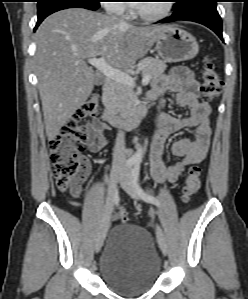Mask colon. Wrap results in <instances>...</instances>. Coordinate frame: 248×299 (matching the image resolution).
<instances>
[{
    "instance_id": "5ec220e1",
    "label": "colon",
    "mask_w": 248,
    "mask_h": 299,
    "mask_svg": "<svg viewBox=\"0 0 248 299\" xmlns=\"http://www.w3.org/2000/svg\"><path fill=\"white\" fill-rule=\"evenodd\" d=\"M222 89V83L216 73L212 59L207 56L202 69V100L209 102L215 99ZM101 107L96 94L88 98L78 109L74 118L70 119L49 142L52 174L57 187L62 192H68L75 197L79 194L81 184L87 174L81 152L86 147L87 134L80 121L100 114ZM201 186V171L197 166L189 169L183 188L182 197L188 202ZM122 224L129 223L125 210L118 212Z\"/></svg>"
}]
</instances>
